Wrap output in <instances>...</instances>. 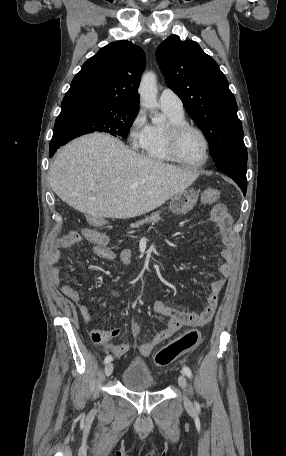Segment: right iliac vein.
<instances>
[{"label": "right iliac vein", "mask_w": 286, "mask_h": 456, "mask_svg": "<svg viewBox=\"0 0 286 456\" xmlns=\"http://www.w3.org/2000/svg\"><path fill=\"white\" fill-rule=\"evenodd\" d=\"M113 369H114V365L113 363H108L106 366H105V369H104V373L107 377H109L112 372H113Z\"/></svg>", "instance_id": "63e3f726"}]
</instances>
